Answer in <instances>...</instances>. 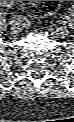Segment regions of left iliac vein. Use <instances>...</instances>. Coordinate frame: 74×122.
I'll use <instances>...</instances> for the list:
<instances>
[{
    "label": "left iliac vein",
    "mask_w": 74,
    "mask_h": 122,
    "mask_svg": "<svg viewBox=\"0 0 74 122\" xmlns=\"http://www.w3.org/2000/svg\"><path fill=\"white\" fill-rule=\"evenodd\" d=\"M69 19H70V17L69 16H63L62 17V23H67L68 21H69ZM59 33H58V35L59 36H66L67 35V33H68V30H67V28L66 27H61V28H59V31H58Z\"/></svg>",
    "instance_id": "left-iliac-vein-1"
}]
</instances>
